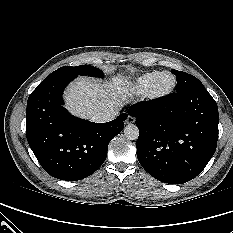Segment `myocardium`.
I'll return each instance as SVG.
<instances>
[{
  "label": "myocardium",
  "mask_w": 233,
  "mask_h": 233,
  "mask_svg": "<svg viewBox=\"0 0 233 233\" xmlns=\"http://www.w3.org/2000/svg\"><path fill=\"white\" fill-rule=\"evenodd\" d=\"M164 75L171 76L172 84L166 90L159 92V91L156 90V84L159 81V79L161 77H163ZM176 87H177V78H176V76L170 71H162L153 80V82L149 86L148 90L146 91L145 96H146V98L148 100H151V101L162 100V99L170 96L175 91Z\"/></svg>",
  "instance_id": "myocardium-1"
}]
</instances>
